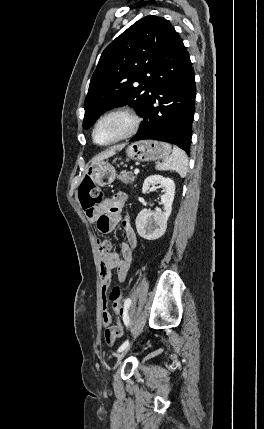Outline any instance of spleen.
Here are the masks:
<instances>
[{"mask_svg": "<svg viewBox=\"0 0 264 429\" xmlns=\"http://www.w3.org/2000/svg\"><path fill=\"white\" fill-rule=\"evenodd\" d=\"M156 169L161 171H175L184 178L188 170L187 155L182 149L174 146L172 154L166 157L163 162L157 163Z\"/></svg>", "mask_w": 264, "mask_h": 429, "instance_id": "obj_1", "label": "spleen"}]
</instances>
